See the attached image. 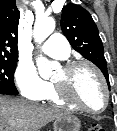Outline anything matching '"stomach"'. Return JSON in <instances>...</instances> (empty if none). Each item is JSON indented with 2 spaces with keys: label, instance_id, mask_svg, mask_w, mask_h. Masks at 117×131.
Wrapping results in <instances>:
<instances>
[{
  "label": "stomach",
  "instance_id": "stomach-1",
  "mask_svg": "<svg viewBox=\"0 0 117 131\" xmlns=\"http://www.w3.org/2000/svg\"><path fill=\"white\" fill-rule=\"evenodd\" d=\"M54 131H80V120L70 114L60 116L55 119L53 124Z\"/></svg>",
  "mask_w": 117,
  "mask_h": 131
}]
</instances>
